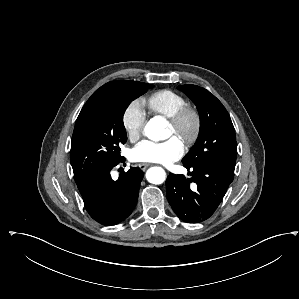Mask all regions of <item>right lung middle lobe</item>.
Returning <instances> with one entry per match:
<instances>
[{
  "mask_svg": "<svg viewBox=\"0 0 299 299\" xmlns=\"http://www.w3.org/2000/svg\"><path fill=\"white\" fill-rule=\"evenodd\" d=\"M153 85L140 83L114 89L84 106L76 120L71 141L75 182L118 163L120 145L127 140L123 115L134 99Z\"/></svg>",
  "mask_w": 299,
  "mask_h": 299,
  "instance_id": "right-lung-middle-lobe-1",
  "label": "right lung middle lobe"
}]
</instances>
